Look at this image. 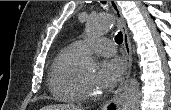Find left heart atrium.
<instances>
[{
	"label": "left heart atrium",
	"instance_id": "39dd6f15",
	"mask_svg": "<svg viewBox=\"0 0 171 110\" xmlns=\"http://www.w3.org/2000/svg\"><path fill=\"white\" fill-rule=\"evenodd\" d=\"M124 72V64L119 58H111L102 61L94 75V86L101 91L112 89L121 79Z\"/></svg>",
	"mask_w": 171,
	"mask_h": 110
}]
</instances>
